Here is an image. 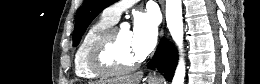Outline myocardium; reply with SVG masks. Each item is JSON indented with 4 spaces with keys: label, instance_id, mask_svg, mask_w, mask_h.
Returning <instances> with one entry per match:
<instances>
[{
    "label": "myocardium",
    "instance_id": "myocardium-1",
    "mask_svg": "<svg viewBox=\"0 0 260 84\" xmlns=\"http://www.w3.org/2000/svg\"><path fill=\"white\" fill-rule=\"evenodd\" d=\"M119 27L111 26L104 30L94 41L91 48L90 67L103 76L128 73L137 69L143 62L139 58L130 64H122L115 57V42Z\"/></svg>",
    "mask_w": 260,
    "mask_h": 84
}]
</instances>
